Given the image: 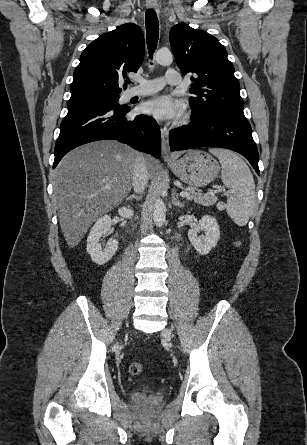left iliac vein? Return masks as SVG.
Returning <instances> with one entry per match:
<instances>
[{
	"mask_svg": "<svg viewBox=\"0 0 307 445\" xmlns=\"http://www.w3.org/2000/svg\"><path fill=\"white\" fill-rule=\"evenodd\" d=\"M162 335L165 336V337H171L172 333H171V331H170L168 328H166V329L162 332Z\"/></svg>",
	"mask_w": 307,
	"mask_h": 445,
	"instance_id": "obj_1",
	"label": "left iliac vein"
}]
</instances>
